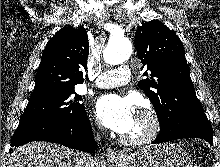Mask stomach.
<instances>
[{
	"mask_svg": "<svg viewBox=\"0 0 220 167\" xmlns=\"http://www.w3.org/2000/svg\"><path fill=\"white\" fill-rule=\"evenodd\" d=\"M112 163L115 167H193L188 153L174 143L140 148Z\"/></svg>",
	"mask_w": 220,
	"mask_h": 167,
	"instance_id": "obj_1",
	"label": "stomach"
}]
</instances>
